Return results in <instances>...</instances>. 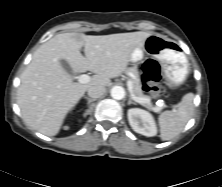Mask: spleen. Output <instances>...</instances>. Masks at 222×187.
Segmentation results:
<instances>
[{"label":"spleen","mask_w":222,"mask_h":187,"mask_svg":"<svg viewBox=\"0 0 222 187\" xmlns=\"http://www.w3.org/2000/svg\"><path fill=\"white\" fill-rule=\"evenodd\" d=\"M194 94L183 96L177 109L164 111L159 116L160 137L168 141L176 137L190 120L194 110Z\"/></svg>","instance_id":"3e777b00"}]
</instances>
